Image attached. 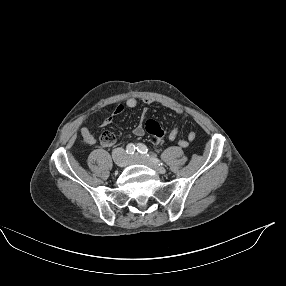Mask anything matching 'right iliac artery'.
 Returning a JSON list of instances; mask_svg holds the SVG:
<instances>
[{
  "mask_svg": "<svg viewBox=\"0 0 286 286\" xmlns=\"http://www.w3.org/2000/svg\"><path fill=\"white\" fill-rule=\"evenodd\" d=\"M135 149H136L135 145L131 143L127 145L126 152L131 155L134 154Z\"/></svg>",
  "mask_w": 286,
  "mask_h": 286,
  "instance_id": "1",
  "label": "right iliac artery"
}]
</instances>
